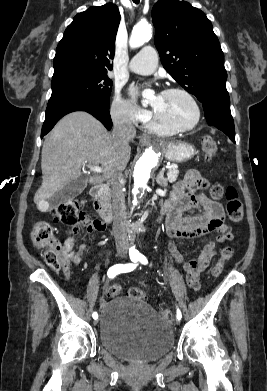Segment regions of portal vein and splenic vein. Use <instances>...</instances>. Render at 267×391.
I'll return each mask as SVG.
<instances>
[{
    "mask_svg": "<svg viewBox=\"0 0 267 391\" xmlns=\"http://www.w3.org/2000/svg\"><path fill=\"white\" fill-rule=\"evenodd\" d=\"M85 164V163H83ZM88 168L91 170V171H94V172H97V173H102L103 172V169L99 166H94V165H90L88 164ZM167 169L171 168L170 166H166Z\"/></svg>",
    "mask_w": 267,
    "mask_h": 391,
    "instance_id": "1",
    "label": "portal vein and splenic vein"
}]
</instances>
